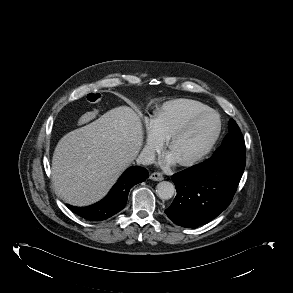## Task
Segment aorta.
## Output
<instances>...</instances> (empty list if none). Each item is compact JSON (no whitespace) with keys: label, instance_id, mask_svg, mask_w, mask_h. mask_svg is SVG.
<instances>
[{"label":"aorta","instance_id":"obj_1","mask_svg":"<svg viewBox=\"0 0 293 293\" xmlns=\"http://www.w3.org/2000/svg\"><path fill=\"white\" fill-rule=\"evenodd\" d=\"M175 192V186L168 181H162L156 186V194L160 199L163 200H168L172 198Z\"/></svg>","mask_w":293,"mask_h":293}]
</instances>
